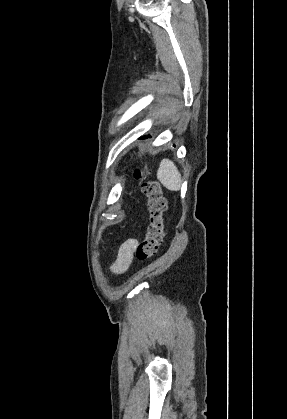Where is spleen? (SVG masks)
<instances>
[{"label": "spleen", "mask_w": 287, "mask_h": 419, "mask_svg": "<svg viewBox=\"0 0 287 419\" xmlns=\"http://www.w3.org/2000/svg\"><path fill=\"white\" fill-rule=\"evenodd\" d=\"M157 178L170 191H178L181 187V174L169 159H163L160 162Z\"/></svg>", "instance_id": "spleen-1"}]
</instances>
